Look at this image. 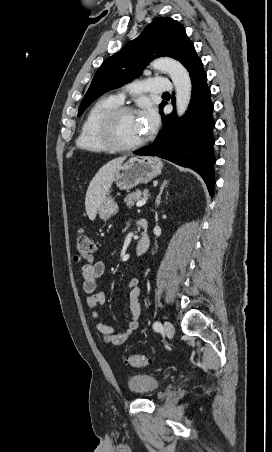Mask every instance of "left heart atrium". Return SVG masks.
I'll use <instances>...</instances> for the list:
<instances>
[{
    "label": "left heart atrium",
    "mask_w": 272,
    "mask_h": 452,
    "mask_svg": "<svg viewBox=\"0 0 272 452\" xmlns=\"http://www.w3.org/2000/svg\"><path fill=\"white\" fill-rule=\"evenodd\" d=\"M142 123L145 133L151 132L158 124V116L156 111L151 107H146L143 116Z\"/></svg>",
    "instance_id": "39dd6f15"
}]
</instances>
